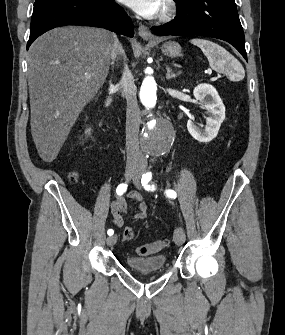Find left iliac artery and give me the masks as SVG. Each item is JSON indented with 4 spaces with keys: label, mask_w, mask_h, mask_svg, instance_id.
<instances>
[{
    "label": "left iliac artery",
    "mask_w": 285,
    "mask_h": 335,
    "mask_svg": "<svg viewBox=\"0 0 285 335\" xmlns=\"http://www.w3.org/2000/svg\"><path fill=\"white\" fill-rule=\"evenodd\" d=\"M152 178V174L151 172H148L146 174H143L142 175V179H141V183L142 185L144 186L145 190L147 191H154L155 190V186L152 184V185H149V181L151 180ZM166 195L170 198H176V192L173 191V190H166Z\"/></svg>",
    "instance_id": "obj_1"
}]
</instances>
